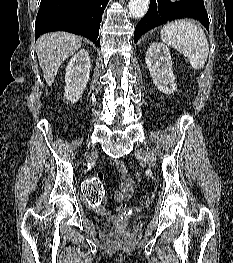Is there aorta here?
Segmentation results:
<instances>
[{
  "label": "aorta",
  "mask_w": 233,
  "mask_h": 263,
  "mask_svg": "<svg viewBox=\"0 0 233 263\" xmlns=\"http://www.w3.org/2000/svg\"><path fill=\"white\" fill-rule=\"evenodd\" d=\"M129 13L133 18H142L149 7V0H130L129 1Z\"/></svg>",
  "instance_id": "aorta-1"
}]
</instances>
